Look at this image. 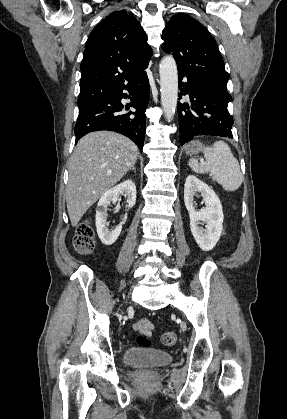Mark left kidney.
<instances>
[{
	"instance_id": "5707ae66",
	"label": "left kidney",
	"mask_w": 287,
	"mask_h": 419,
	"mask_svg": "<svg viewBox=\"0 0 287 419\" xmlns=\"http://www.w3.org/2000/svg\"><path fill=\"white\" fill-rule=\"evenodd\" d=\"M200 192L206 207L196 211L193 206V196ZM184 202L190 217L192 235L203 251L212 250L220 239L223 230V210L216 193L194 175H189L185 181ZM206 223L205 229L200 227Z\"/></svg>"
}]
</instances>
